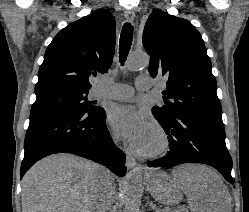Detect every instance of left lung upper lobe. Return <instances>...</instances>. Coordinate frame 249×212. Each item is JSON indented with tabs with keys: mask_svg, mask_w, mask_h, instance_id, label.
Returning <instances> with one entry per match:
<instances>
[{
	"mask_svg": "<svg viewBox=\"0 0 249 212\" xmlns=\"http://www.w3.org/2000/svg\"><path fill=\"white\" fill-rule=\"evenodd\" d=\"M143 45L150 55V75L167 80L161 92L164 103L152 108L153 115L169 119L190 111L222 114L210 58L201 34L188 20L154 9L144 27Z\"/></svg>",
	"mask_w": 249,
	"mask_h": 212,
	"instance_id": "1",
	"label": "left lung upper lobe"
}]
</instances>
